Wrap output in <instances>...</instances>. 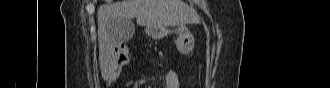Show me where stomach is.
<instances>
[{
	"label": "stomach",
	"mask_w": 330,
	"mask_h": 88,
	"mask_svg": "<svg viewBox=\"0 0 330 88\" xmlns=\"http://www.w3.org/2000/svg\"><path fill=\"white\" fill-rule=\"evenodd\" d=\"M151 34L152 36H156L157 32L153 31ZM176 45L179 52L182 54H188L193 50L194 36L186 26L181 25L177 29Z\"/></svg>",
	"instance_id": "1"
}]
</instances>
